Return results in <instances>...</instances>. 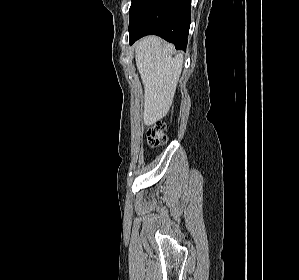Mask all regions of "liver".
I'll return each instance as SVG.
<instances>
[{"mask_svg":"<svg viewBox=\"0 0 299 280\" xmlns=\"http://www.w3.org/2000/svg\"><path fill=\"white\" fill-rule=\"evenodd\" d=\"M174 47L157 36L135 45L136 66L144 85L143 123L155 124L169 111L183 66V53L173 57Z\"/></svg>","mask_w":299,"mask_h":280,"instance_id":"6515ba94","label":"liver"}]
</instances>
